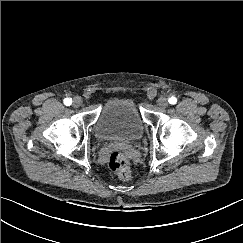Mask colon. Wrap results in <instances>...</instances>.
<instances>
[{
    "label": "colon",
    "instance_id": "obj_1",
    "mask_svg": "<svg viewBox=\"0 0 243 243\" xmlns=\"http://www.w3.org/2000/svg\"><path fill=\"white\" fill-rule=\"evenodd\" d=\"M107 165L108 168L122 180H129L131 178L132 173L130 164L123 153L119 151L110 152Z\"/></svg>",
    "mask_w": 243,
    "mask_h": 243
}]
</instances>
